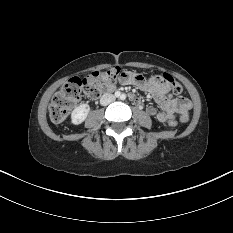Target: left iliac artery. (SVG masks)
I'll return each mask as SVG.
<instances>
[{"mask_svg": "<svg viewBox=\"0 0 233 233\" xmlns=\"http://www.w3.org/2000/svg\"><path fill=\"white\" fill-rule=\"evenodd\" d=\"M120 98H121L122 100H125L126 95H125V94H122Z\"/></svg>", "mask_w": 233, "mask_h": 233, "instance_id": "44dca946", "label": "left iliac artery"}]
</instances>
